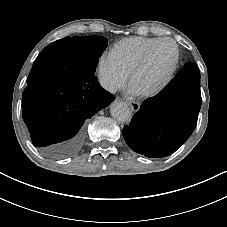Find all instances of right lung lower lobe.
Returning <instances> with one entry per match:
<instances>
[{
  "instance_id": "obj_1",
  "label": "right lung lower lobe",
  "mask_w": 227,
  "mask_h": 227,
  "mask_svg": "<svg viewBox=\"0 0 227 227\" xmlns=\"http://www.w3.org/2000/svg\"><path fill=\"white\" fill-rule=\"evenodd\" d=\"M65 47L64 42L55 41L42 50L33 66L45 73L44 79L28 84L22 95L23 120L32 142L51 159L79 151L88 119L115 99L96 76L60 71L58 54Z\"/></svg>"
}]
</instances>
